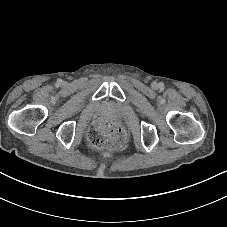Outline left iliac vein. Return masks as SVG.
<instances>
[{"instance_id":"left-iliac-vein-1","label":"left iliac vein","mask_w":227,"mask_h":227,"mask_svg":"<svg viewBox=\"0 0 227 227\" xmlns=\"http://www.w3.org/2000/svg\"><path fill=\"white\" fill-rule=\"evenodd\" d=\"M152 87H153V88H157V87H158V84H157L156 82H153V83H152Z\"/></svg>"}]
</instances>
